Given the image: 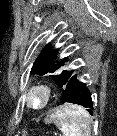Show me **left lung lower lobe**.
<instances>
[{"mask_svg": "<svg viewBox=\"0 0 117 136\" xmlns=\"http://www.w3.org/2000/svg\"><path fill=\"white\" fill-rule=\"evenodd\" d=\"M62 103L68 102L81 105L88 108L87 111L93 114V103L91 100V93L86 83L81 79V76L74 72L63 88Z\"/></svg>", "mask_w": 117, "mask_h": 136, "instance_id": "0a47b994", "label": "left lung lower lobe"}]
</instances>
